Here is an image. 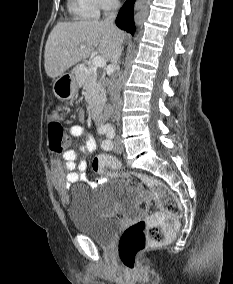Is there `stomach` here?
<instances>
[{
  "label": "stomach",
  "mask_w": 233,
  "mask_h": 284,
  "mask_svg": "<svg viewBox=\"0 0 233 284\" xmlns=\"http://www.w3.org/2000/svg\"><path fill=\"white\" fill-rule=\"evenodd\" d=\"M79 85L80 80L76 72L62 74L54 81L53 92L60 100H69L77 94Z\"/></svg>",
  "instance_id": "1"
}]
</instances>
